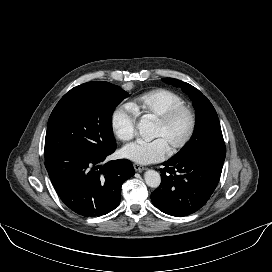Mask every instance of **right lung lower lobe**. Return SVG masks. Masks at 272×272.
Here are the masks:
<instances>
[{"mask_svg":"<svg viewBox=\"0 0 272 272\" xmlns=\"http://www.w3.org/2000/svg\"><path fill=\"white\" fill-rule=\"evenodd\" d=\"M115 149L116 144L99 151L72 148L45 158L57 194L75 213L98 217L119 205L121 186L135 171L127 159L101 165Z\"/></svg>","mask_w":272,"mask_h":272,"instance_id":"1","label":"right lung lower lobe"}]
</instances>
